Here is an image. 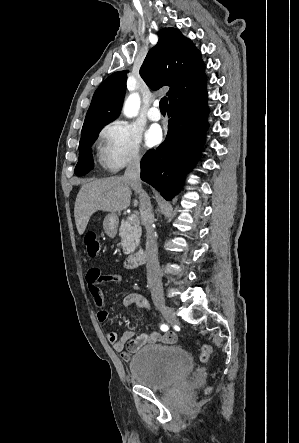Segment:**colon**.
<instances>
[{"label":"colon","mask_w":299,"mask_h":443,"mask_svg":"<svg viewBox=\"0 0 299 443\" xmlns=\"http://www.w3.org/2000/svg\"><path fill=\"white\" fill-rule=\"evenodd\" d=\"M83 242L86 248V252L90 257H95L100 252V243L98 236L93 231H87L83 235ZM212 353V347L205 344L201 348L200 361L202 363L207 362L210 354Z\"/></svg>","instance_id":"obj_1"}]
</instances>
